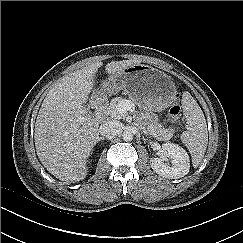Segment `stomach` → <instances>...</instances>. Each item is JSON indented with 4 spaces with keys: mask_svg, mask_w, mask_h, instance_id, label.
<instances>
[{
    "mask_svg": "<svg viewBox=\"0 0 243 243\" xmlns=\"http://www.w3.org/2000/svg\"><path fill=\"white\" fill-rule=\"evenodd\" d=\"M107 92L122 90L137 105L159 112L175 99L176 87L164 72L146 65L133 64L102 83Z\"/></svg>",
    "mask_w": 243,
    "mask_h": 243,
    "instance_id": "obj_1",
    "label": "stomach"
}]
</instances>
